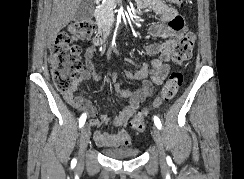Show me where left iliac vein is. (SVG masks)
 Masks as SVG:
<instances>
[{
	"label": "left iliac vein",
	"mask_w": 244,
	"mask_h": 179,
	"mask_svg": "<svg viewBox=\"0 0 244 179\" xmlns=\"http://www.w3.org/2000/svg\"><path fill=\"white\" fill-rule=\"evenodd\" d=\"M152 135H153V140L157 146L158 152H159V160L164 161L165 159V151H164V146H163V137L155 126L153 127L152 130Z\"/></svg>",
	"instance_id": "4c4485c4"
}]
</instances>
